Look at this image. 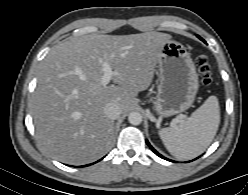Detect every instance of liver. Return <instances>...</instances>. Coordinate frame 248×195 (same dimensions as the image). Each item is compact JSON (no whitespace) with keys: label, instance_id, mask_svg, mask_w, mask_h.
Listing matches in <instances>:
<instances>
[{"label":"liver","instance_id":"obj_1","mask_svg":"<svg viewBox=\"0 0 248 195\" xmlns=\"http://www.w3.org/2000/svg\"><path fill=\"white\" fill-rule=\"evenodd\" d=\"M172 37L156 31L131 35L89 34L72 37L42 61L31 103L36 137L55 159L72 165L95 161L111 148L113 120L109 102L127 112L154 77L160 51ZM113 83L102 85L103 62Z\"/></svg>","mask_w":248,"mask_h":195}]
</instances>
